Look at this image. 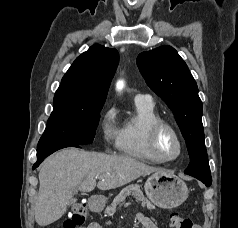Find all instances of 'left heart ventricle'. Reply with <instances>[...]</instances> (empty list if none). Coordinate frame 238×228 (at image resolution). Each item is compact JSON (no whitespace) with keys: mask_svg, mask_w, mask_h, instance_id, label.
Listing matches in <instances>:
<instances>
[{"mask_svg":"<svg viewBox=\"0 0 238 228\" xmlns=\"http://www.w3.org/2000/svg\"><path fill=\"white\" fill-rule=\"evenodd\" d=\"M159 151L164 157H175L178 153V145L173 137L164 132L159 139Z\"/></svg>","mask_w":238,"mask_h":228,"instance_id":"b2bd125f","label":"left heart ventricle"}]
</instances>
